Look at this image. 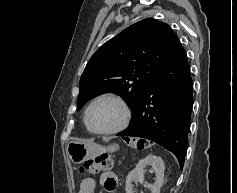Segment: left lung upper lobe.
Returning <instances> with one entry per match:
<instances>
[{"label":"left lung upper lobe","instance_id":"left-lung-upper-lobe-1","mask_svg":"<svg viewBox=\"0 0 237 193\" xmlns=\"http://www.w3.org/2000/svg\"><path fill=\"white\" fill-rule=\"evenodd\" d=\"M179 46L169 25L155 19L126 28L87 63L80 79L77 110L101 93L115 92L135 115L150 84Z\"/></svg>","mask_w":237,"mask_h":193}]
</instances>
